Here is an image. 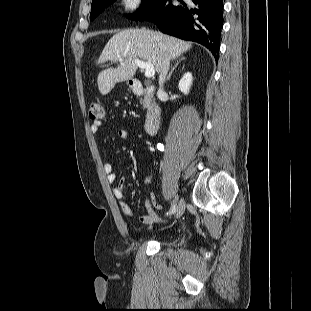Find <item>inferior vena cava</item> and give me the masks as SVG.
I'll use <instances>...</instances> for the list:
<instances>
[{
  "mask_svg": "<svg viewBox=\"0 0 311 311\" xmlns=\"http://www.w3.org/2000/svg\"><path fill=\"white\" fill-rule=\"evenodd\" d=\"M169 64H170V59H169L168 55L165 53L163 55L161 69L159 71V89L157 92L158 97H161L165 93L163 85L165 83L166 75H167L168 70H169Z\"/></svg>",
  "mask_w": 311,
  "mask_h": 311,
  "instance_id": "602c4592",
  "label": "inferior vena cava"
}]
</instances>
